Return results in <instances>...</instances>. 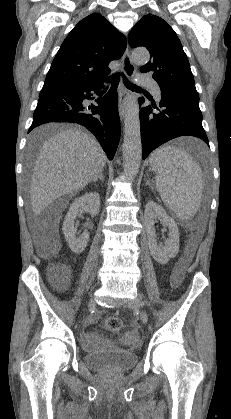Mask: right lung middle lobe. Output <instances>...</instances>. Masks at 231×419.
I'll list each match as a JSON object with an SVG mask.
<instances>
[{"mask_svg": "<svg viewBox=\"0 0 231 419\" xmlns=\"http://www.w3.org/2000/svg\"><path fill=\"white\" fill-rule=\"evenodd\" d=\"M69 88L68 87H64V86H48V87H43L42 88V90H41V92H40V94H39V97L41 98V97H43V96H46V95H48V94H52V93H56V92H61V91H65V90H68ZM39 140H33L32 141V147H35V146H37V142H38Z\"/></svg>", "mask_w": 231, "mask_h": 419, "instance_id": "dd1d6c3e", "label": "right lung middle lobe"}]
</instances>
